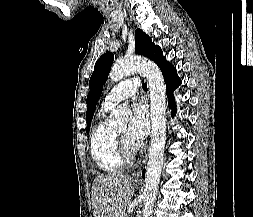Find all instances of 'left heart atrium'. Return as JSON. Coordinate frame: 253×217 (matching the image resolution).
Masks as SVG:
<instances>
[{
	"instance_id": "left-heart-atrium-1",
	"label": "left heart atrium",
	"mask_w": 253,
	"mask_h": 217,
	"mask_svg": "<svg viewBox=\"0 0 253 217\" xmlns=\"http://www.w3.org/2000/svg\"><path fill=\"white\" fill-rule=\"evenodd\" d=\"M150 128V121L147 109L145 105L141 103H136L132 107V117L128 129L129 139L136 146L143 141L148 133Z\"/></svg>"
}]
</instances>
